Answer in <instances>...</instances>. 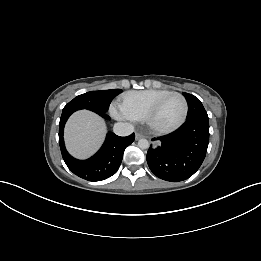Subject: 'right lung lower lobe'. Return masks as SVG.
<instances>
[{"mask_svg":"<svg viewBox=\"0 0 261 261\" xmlns=\"http://www.w3.org/2000/svg\"><path fill=\"white\" fill-rule=\"evenodd\" d=\"M76 109H63L59 123V145L62 157L68 168L77 176L88 181H101L111 177L118 170L124 150L135 139V134L120 137L114 133H108L106 140L100 150L87 160H77L66 150L63 139L64 125L69 116ZM105 119L109 117L105 113H97Z\"/></svg>","mask_w":261,"mask_h":261,"instance_id":"98d812e1","label":"right lung lower lobe"}]
</instances>
